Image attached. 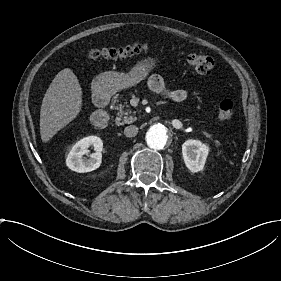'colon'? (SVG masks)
Segmentation results:
<instances>
[{"instance_id": "obj_1", "label": "colon", "mask_w": 281, "mask_h": 281, "mask_svg": "<svg viewBox=\"0 0 281 281\" xmlns=\"http://www.w3.org/2000/svg\"><path fill=\"white\" fill-rule=\"evenodd\" d=\"M150 53L165 55L171 59L180 61L185 60L190 66L194 67L200 74L209 75L212 73L214 63L211 57L198 52H180L168 47L151 45L147 43H134L124 46H102L94 47L89 51L90 59L101 60H131L145 56ZM234 113V103L231 100H222L216 111V118L219 124L228 122Z\"/></svg>"}]
</instances>
